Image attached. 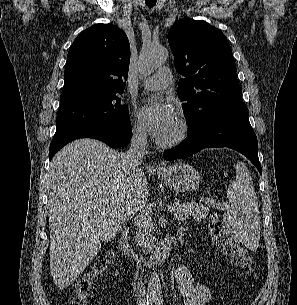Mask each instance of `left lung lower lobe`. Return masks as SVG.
Masks as SVG:
<instances>
[{"label":"left lung lower lobe","instance_id":"0a47b994","mask_svg":"<svg viewBox=\"0 0 297 305\" xmlns=\"http://www.w3.org/2000/svg\"><path fill=\"white\" fill-rule=\"evenodd\" d=\"M211 147H228L242 153L261 174L257 137L250 125L243 100L229 102L190 125L188 137L163 156L166 160L185 158Z\"/></svg>","mask_w":297,"mask_h":305}]
</instances>
